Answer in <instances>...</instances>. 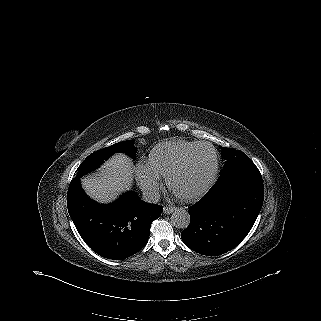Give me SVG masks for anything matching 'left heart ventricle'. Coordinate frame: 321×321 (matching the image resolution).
I'll list each match as a JSON object with an SVG mask.
<instances>
[{
  "mask_svg": "<svg viewBox=\"0 0 321 321\" xmlns=\"http://www.w3.org/2000/svg\"><path fill=\"white\" fill-rule=\"evenodd\" d=\"M214 170V155L210 148L201 147L195 151L188 165L172 180V191L180 196L191 195L210 180Z\"/></svg>",
  "mask_w": 321,
  "mask_h": 321,
  "instance_id": "1",
  "label": "left heart ventricle"
}]
</instances>
